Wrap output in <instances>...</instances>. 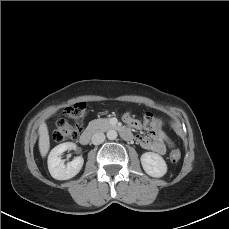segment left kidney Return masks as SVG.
Segmentation results:
<instances>
[{"label":"left kidney","instance_id":"left-kidney-1","mask_svg":"<svg viewBox=\"0 0 229 229\" xmlns=\"http://www.w3.org/2000/svg\"><path fill=\"white\" fill-rule=\"evenodd\" d=\"M144 171L151 177L160 178L167 172L165 160L157 153L146 152L141 156Z\"/></svg>","mask_w":229,"mask_h":229}]
</instances>
